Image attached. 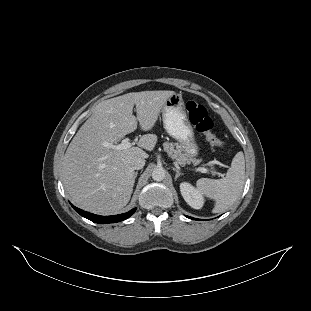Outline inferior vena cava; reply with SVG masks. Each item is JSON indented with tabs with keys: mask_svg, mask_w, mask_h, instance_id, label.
I'll return each mask as SVG.
<instances>
[{
	"mask_svg": "<svg viewBox=\"0 0 311 311\" xmlns=\"http://www.w3.org/2000/svg\"><path fill=\"white\" fill-rule=\"evenodd\" d=\"M133 170H140L145 166V159L136 157L131 162Z\"/></svg>",
	"mask_w": 311,
	"mask_h": 311,
	"instance_id": "obj_1",
	"label": "inferior vena cava"
}]
</instances>
